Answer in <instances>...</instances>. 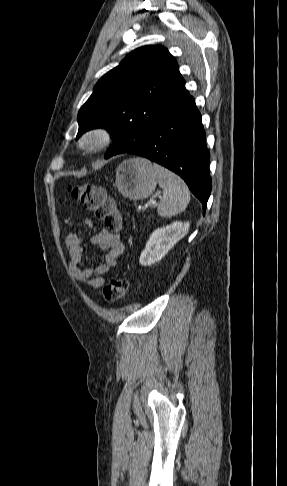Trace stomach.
I'll return each instance as SVG.
<instances>
[{"mask_svg": "<svg viewBox=\"0 0 287 486\" xmlns=\"http://www.w3.org/2000/svg\"><path fill=\"white\" fill-rule=\"evenodd\" d=\"M157 180L154 165L144 158L134 157L119 164L114 186L124 197L139 200L154 192Z\"/></svg>", "mask_w": 287, "mask_h": 486, "instance_id": "obj_1", "label": "stomach"}]
</instances>
